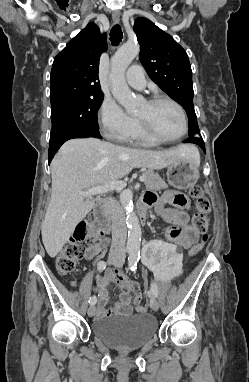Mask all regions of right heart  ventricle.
<instances>
[{"mask_svg": "<svg viewBox=\"0 0 249 382\" xmlns=\"http://www.w3.org/2000/svg\"><path fill=\"white\" fill-rule=\"evenodd\" d=\"M127 141L128 142H134V143L144 145V146H153V145L157 144V142L147 138L143 134V132L140 129L139 123H138V126H137L135 133Z\"/></svg>", "mask_w": 249, "mask_h": 382, "instance_id": "1", "label": "right heart ventricle"}]
</instances>
